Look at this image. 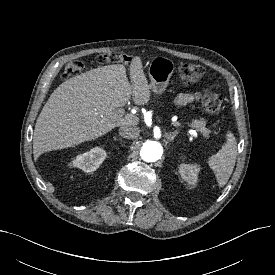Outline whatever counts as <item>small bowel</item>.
Returning <instances> with one entry per match:
<instances>
[{"mask_svg":"<svg viewBox=\"0 0 275 275\" xmlns=\"http://www.w3.org/2000/svg\"><path fill=\"white\" fill-rule=\"evenodd\" d=\"M199 94L198 93H187V94H181L177 97L176 102L178 105L183 106L188 103L194 102L199 100Z\"/></svg>","mask_w":275,"mask_h":275,"instance_id":"obj_1","label":"small bowel"}]
</instances>
